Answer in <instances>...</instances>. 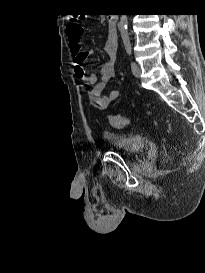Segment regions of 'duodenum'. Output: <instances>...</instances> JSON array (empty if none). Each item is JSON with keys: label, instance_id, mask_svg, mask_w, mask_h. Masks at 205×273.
Segmentation results:
<instances>
[{"label": "duodenum", "instance_id": "410a0bca", "mask_svg": "<svg viewBox=\"0 0 205 273\" xmlns=\"http://www.w3.org/2000/svg\"><path fill=\"white\" fill-rule=\"evenodd\" d=\"M117 20H118V16H117L116 14H111V15L108 17V26L110 27V29H111L112 32H113L112 39H113L114 41H116L115 32H116Z\"/></svg>", "mask_w": 205, "mask_h": 273}]
</instances>
